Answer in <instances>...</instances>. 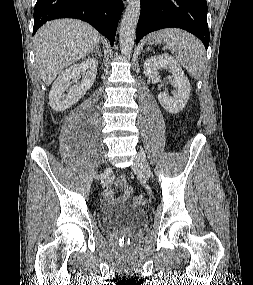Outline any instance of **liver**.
<instances>
[{
	"label": "liver",
	"instance_id": "1",
	"mask_svg": "<svg viewBox=\"0 0 253 285\" xmlns=\"http://www.w3.org/2000/svg\"><path fill=\"white\" fill-rule=\"evenodd\" d=\"M99 41L98 31L83 21L47 22L34 37L35 59L45 85L49 86L64 68L91 53Z\"/></svg>",
	"mask_w": 253,
	"mask_h": 285
}]
</instances>
